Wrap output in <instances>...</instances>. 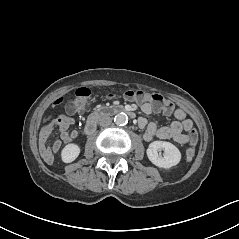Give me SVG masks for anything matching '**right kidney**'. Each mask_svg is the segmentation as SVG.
<instances>
[{
    "label": "right kidney",
    "mask_w": 239,
    "mask_h": 239,
    "mask_svg": "<svg viewBox=\"0 0 239 239\" xmlns=\"http://www.w3.org/2000/svg\"><path fill=\"white\" fill-rule=\"evenodd\" d=\"M80 153V146L76 143H66L60 149V154L66 161H75L79 157Z\"/></svg>",
    "instance_id": "ca27d5eb"
}]
</instances>
